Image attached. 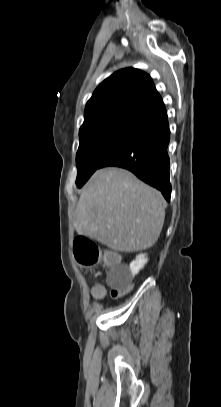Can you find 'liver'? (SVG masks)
<instances>
[{
	"label": "liver",
	"mask_w": 221,
	"mask_h": 407,
	"mask_svg": "<svg viewBox=\"0 0 221 407\" xmlns=\"http://www.w3.org/2000/svg\"><path fill=\"white\" fill-rule=\"evenodd\" d=\"M162 194L128 170H97L86 183L76 207L77 229L114 251L152 247L165 219Z\"/></svg>",
	"instance_id": "1"
}]
</instances>
